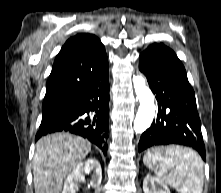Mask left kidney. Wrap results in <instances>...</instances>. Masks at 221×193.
<instances>
[{
    "mask_svg": "<svg viewBox=\"0 0 221 193\" xmlns=\"http://www.w3.org/2000/svg\"><path fill=\"white\" fill-rule=\"evenodd\" d=\"M143 191L144 193H170L165 182L151 175L144 178Z\"/></svg>",
    "mask_w": 221,
    "mask_h": 193,
    "instance_id": "obj_1",
    "label": "left kidney"
}]
</instances>
